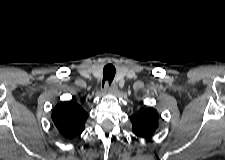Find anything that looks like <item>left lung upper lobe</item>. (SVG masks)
I'll return each instance as SVG.
<instances>
[{
	"instance_id": "left-lung-upper-lobe-1",
	"label": "left lung upper lobe",
	"mask_w": 225,
	"mask_h": 160,
	"mask_svg": "<svg viewBox=\"0 0 225 160\" xmlns=\"http://www.w3.org/2000/svg\"><path fill=\"white\" fill-rule=\"evenodd\" d=\"M158 113L153 108L130 117L132 131L139 138L149 139L158 128Z\"/></svg>"
}]
</instances>
